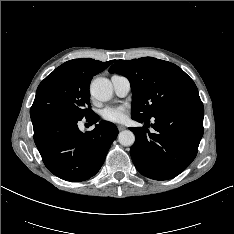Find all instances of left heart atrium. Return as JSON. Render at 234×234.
<instances>
[{"mask_svg":"<svg viewBox=\"0 0 234 234\" xmlns=\"http://www.w3.org/2000/svg\"><path fill=\"white\" fill-rule=\"evenodd\" d=\"M101 115L108 122L123 123L127 119V108L123 105L107 106L101 111Z\"/></svg>","mask_w":234,"mask_h":234,"instance_id":"left-heart-atrium-1","label":"left heart atrium"}]
</instances>
